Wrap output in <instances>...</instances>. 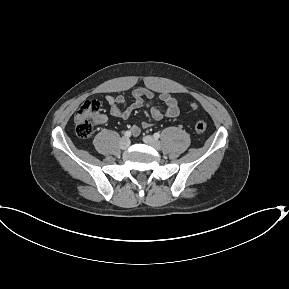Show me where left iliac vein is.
Returning <instances> with one entry per match:
<instances>
[{
	"label": "left iliac vein",
	"instance_id": "4c4485c4",
	"mask_svg": "<svg viewBox=\"0 0 289 289\" xmlns=\"http://www.w3.org/2000/svg\"><path fill=\"white\" fill-rule=\"evenodd\" d=\"M143 141L156 150H160V148H161L160 142L156 138H154L150 135L145 136L143 138Z\"/></svg>",
	"mask_w": 289,
	"mask_h": 289
}]
</instances>
